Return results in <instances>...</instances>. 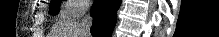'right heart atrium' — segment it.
Wrapping results in <instances>:
<instances>
[{
    "label": "right heart atrium",
    "instance_id": "d8ad5b80",
    "mask_svg": "<svg viewBox=\"0 0 219 37\" xmlns=\"http://www.w3.org/2000/svg\"><path fill=\"white\" fill-rule=\"evenodd\" d=\"M88 7L89 2L86 0H68L61 14L66 19H77L87 11Z\"/></svg>",
    "mask_w": 219,
    "mask_h": 37
}]
</instances>
